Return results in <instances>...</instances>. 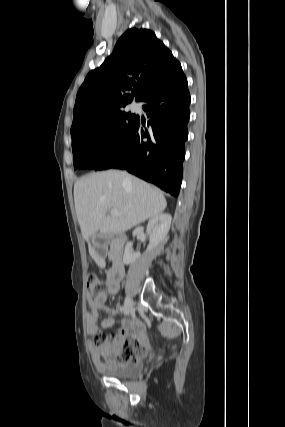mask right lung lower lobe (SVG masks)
<instances>
[{"label": "right lung lower lobe", "mask_w": 285, "mask_h": 427, "mask_svg": "<svg viewBox=\"0 0 285 427\" xmlns=\"http://www.w3.org/2000/svg\"><path fill=\"white\" fill-rule=\"evenodd\" d=\"M150 120L141 127L139 117L119 148L95 170L126 169L178 196L187 140L190 95L187 79L179 67L151 86L142 96Z\"/></svg>", "instance_id": "right-lung-lower-lobe-1"}]
</instances>
